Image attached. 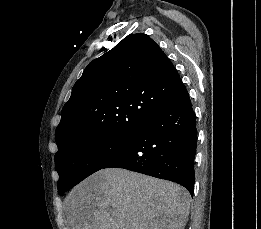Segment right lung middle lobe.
<instances>
[{
  "instance_id": "dd1d6c3e",
  "label": "right lung middle lobe",
  "mask_w": 261,
  "mask_h": 229,
  "mask_svg": "<svg viewBox=\"0 0 261 229\" xmlns=\"http://www.w3.org/2000/svg\"><path fill=\"white\" fill-rule=\"evenodd\" d=\"M134 137L88 135L73 138L59 146L55 155L59 195L62 196L83 179L102 169L126 150Z\"/></svg>"
}]
</instances>
